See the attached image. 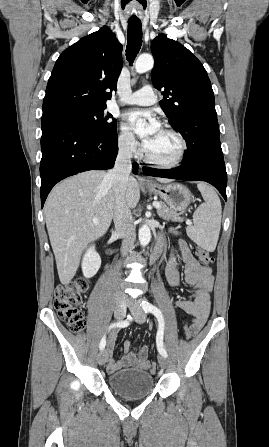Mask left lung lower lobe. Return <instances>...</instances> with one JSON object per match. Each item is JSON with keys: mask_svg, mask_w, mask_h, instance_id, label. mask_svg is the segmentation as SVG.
I'll return each mask as SVG.
<instances>
[{"mask_svg": "<svg viewBox=\"0 0 269 447\" xmlns=\"http://www.w3.org/2000/svg\"><path fill=\"white\" fill-rule=\"evenodd\" d=\"M143 172L149 176L205 181L215 186L223 198L226 197L227 173L222 151H208L195 158L184 161L181 166L161 170L144 167Z\"/></svg>", "mask_w": 269, "mask_h": 447, "instance_id": "left-lung-lower-lobe-1", "label": "left lung lower lobe"}]
</instances>
